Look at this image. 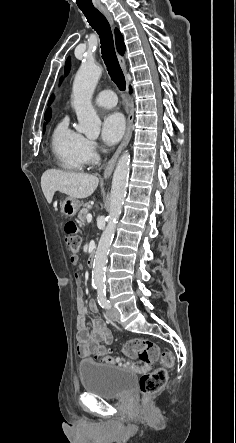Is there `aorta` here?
I'll return each instance as SVG.
<instances>
[{
  "instance_id": "1",
  "label": "aorta",
  "mask_w": 236,
  "mask_h": 443,
  "mask_svg": "<svg viewBox=\"0 0 236 443\" xmlns=\"http://www.w3.org/2000/svg\"><path fill=\"white\" fill-rule=\"evenodd\" d=\"M101 74V66L86 61L80 66L73 82L72 106L78 119L76 129L89 138H97L101 129V120L91 102ZM129 163L130 156L126 152L119 158L113 174L108 223L99 240L92 270V283L98 288L104 287L108 253L126 195Z\"/></svg>"
}]
</instances>
